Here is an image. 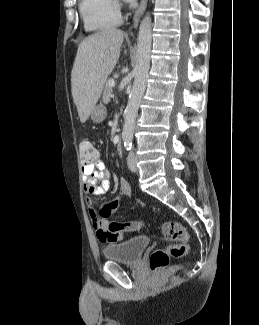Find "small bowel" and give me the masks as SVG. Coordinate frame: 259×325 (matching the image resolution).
<instances>
[{
  "label": "small bowel",
  "mask_w": 259,
  "mask_h": 325,
  "mask_svg": "<svg viewBox=\"0 0 259 325\" xmlns=\"http://www.w3.org/2000/svg\"><path fill=\"white\" fill-rule=\"evenodd\" d=\"M83 191L87 196L89 215L98 240L102 243H113L123 239L124 231L111 232L107 229V219L100 217L93 207L91 196H103L110 189V172L96 150V157L90 163L81 162ZM119 192L122 196L131 195V187L126 179H121Z\"/></svg>",
  "instance_id": "1"
}]
</instances>
